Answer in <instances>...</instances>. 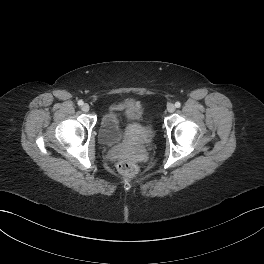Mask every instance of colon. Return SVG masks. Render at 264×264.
<instances>
[{
	"instance_id": "1",
	"label": "colon",
	"mask_w": 264,
	"mask_h": 264,
	"mask_svg": "<svg viewBox=\"0 0 264 264\" xmlns=\"http://www.w3.org/2000/svg\"><path fill=\"white\" fill-rule=\"evenodd\" d=\"M117 169L122 175L126 177H134L138 172L137 166L126 160L120 161L117 164Z\"/></svg>"
}]
</instances>
